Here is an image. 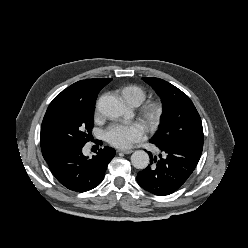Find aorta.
<instances>
[{
	"label": "aorta",
	"mask_w": 248,
	"mask_h": 248,
	"mask_svg": "<svg viewBox=\"0 0 248 248\" xmlns=\"http://www.w3.org/2000/svg\"><path fill=\"white\" fill-rule=\"evenodd\" d=\"M99 112L110 118L126 117L129 110L121 99L114 96H102L97 103ZM131 163L137 169H145L149 164V155L143 150H137L131 155Z\"/></svg>",
	"instance_id": "762f6f07"
}]
</instances>
